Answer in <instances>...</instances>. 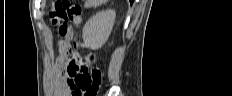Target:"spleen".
<instances>
[{"instance_id":"3e777b00","label":"spleen","mask_w":232,"mask_h":96,"mask_svg":"<svg viewBox=\"0 0 232 96\" xmlns=\"http://www.w3.org/2000/svg\"><path fill=\"white\" fill-rule=\"evenodd\" d=\"M103 3H105V0H86L84 7L85 8L97 7L99 5H102Z\"/></svg>"}]
</instances>
